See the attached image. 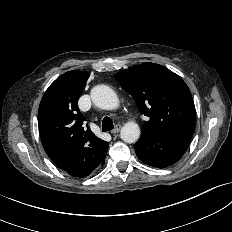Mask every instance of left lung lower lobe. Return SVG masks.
Listing matches in <instances>:
<instances>
[{
	"mask_svg": "<svg viewBox=\"0 0 232 232\" xmlns=\"http://www.w3.org/2000/svg\"><path fill=\"white\" fill-rule=\"evenodd\" d=\"M191 138L192 135L188 134H153L143 131L135 144V152L145 164L165 168L180 160Z\"/></svg>",
	"mask_w": 232,
	"mask_h": 232,
	"instance_id": "0a47b994",
	"label": "left lung lower lobe"
}]
</instances>
